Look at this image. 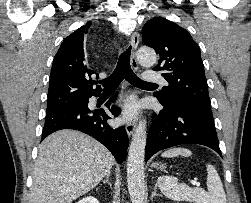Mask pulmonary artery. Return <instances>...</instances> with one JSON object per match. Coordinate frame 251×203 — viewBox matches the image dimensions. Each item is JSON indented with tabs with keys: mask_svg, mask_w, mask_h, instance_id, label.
Returning <instances> with one entry per match:
<instances>
[{
	"mask_svg": "<svg viewBox=\"0 0 251 203\" xmlns=\"http://www.w3.org/2000/svg\"><path fill=\"white\" fill-rule=\"evenodd\" d=\"M143 80L145 82H149V83H160V84H166V80L164 79V77L156 72H146L143 75Z\"/></svg>",
	"mask_w": 251,
	"mask_h": 203,
	"instance_id": "pulmonary-artery-1",
	"label": "pulmonary artery"
}]
</instances>
